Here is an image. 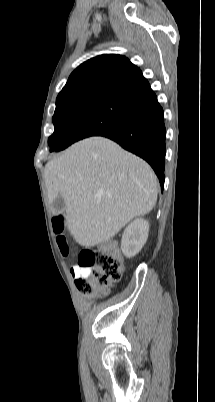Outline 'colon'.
I'll list each match as a JSON object with an SVG mask.
<instances>
[{
    "label": "colon",
    "instance_id": "5ec220e1",
    "mask_svg": "<svg viewBox=\"0 0 215 402\" xmlns=\"http://www.w3.org/2000/svg\"><path fill=\"white\" fill-rule=\"evenodd\" d=\"M54 230L57 233V243L64 256L69 253L65 237L62 235L64 223L61 217L53 221ZM77 265L81 268H89L87 277L75 280L79 291L86 295H93L105 290L110 284L118 282L122 274V262L117 255L113 244L106 243L98 250H84L78 256Z\"/></svg>",
    "mask_w": 215,
    "mask_h": 402
}]
</instances>
